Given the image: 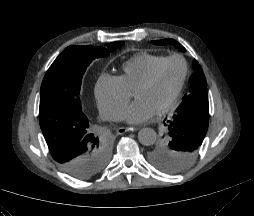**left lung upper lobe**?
Instances as JSON below:
<instances>
[{
	"instance_id": "obj_1",
	"label": "left lung upper lobe",
	"mask_w": 254,
	"mask_h": 216,
	"mask_svg": "<svg viewBox=\"0 0 254 216\" xmlns=\"http://www.w3.org/2000/svg\"><path fill=\"white\" fill-rule=\"evenodd\" d=\"M153 44H172L179 51L185 48L173 39L152 41ZM195 72L190 82V92L185 94L177 114L167 124L164 139L148 152L149 161L166 173H180L188 168L197 157L209 122V104L207 83L204 73L196 60L193 61Z\"/></svg>"
}]
</instances>
